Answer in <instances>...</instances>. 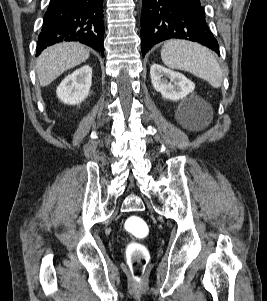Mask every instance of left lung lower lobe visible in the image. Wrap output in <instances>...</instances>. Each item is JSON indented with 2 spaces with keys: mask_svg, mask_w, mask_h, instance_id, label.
<instances>
[{
  "mask_svg": "<svg viewBox=\"0 0 267 301\" xmlns=\"http://www.w3.org/2000/svg\"><path fill=\"white\" fill-rule=\"evenodd\" d=\"M141 48L170 38L199 42L219 55L218 42L208 28L200 0H143Z\"/></svg>",
  "mask_w": 267,
  "mask_h": 301,
  "instance_id": "0a47b994",
  "label": "left lung lower lobe"
}]
</instances>
